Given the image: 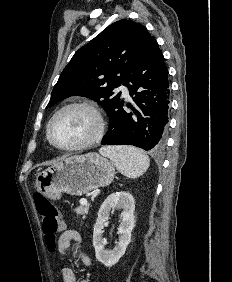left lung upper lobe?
Segmentation results:
<instances>
[{
  "instance_id": "1",
  "label": "left lung upper lobe",
  "mask_w": 232,
  "mask_h": 282,
  "mask_svg": "<svg viewBox=\"0 0 232 282\" xmlns=\"http://www.w3.org/2000/svg\"><path fill=\"white\" fill-rule=\"evenodd\" d=\"M154 39L140 23L117 21L80 48L62 71L46 108L70 96L98 102L108 114L120 101V86L143 57Z\"/></svg>"
}]
</instances>
